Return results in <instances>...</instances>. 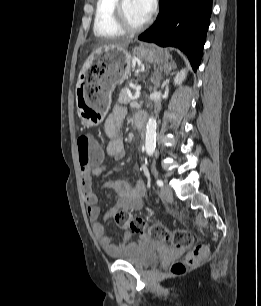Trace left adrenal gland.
Instances as JSON below:
<instances>
[{"mask_svg": "<svg viewBox=\"0 0 261 306\" xmlns=\"http://www.w3.org/2000/svg\"><path fill=\"white\" fill-rule=\"evenodd\" d=\"M176 67L175 62H170L165 64L163 67L160 68V73H159V78H161V73L162 71H164L165 75H168L172 69H174ZM156 87L160 86V81H156L155 82Z\"/></svg>", "mask_w": 261, "mask_h": 306, "instance_id": "1", "label": "left adrenal gland"}]
</instances>
